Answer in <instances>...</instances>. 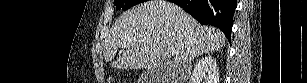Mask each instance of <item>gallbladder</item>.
<instances>
[{
    "label": "gallbladder",
    "mask_w": 307,
    "mask_h": 83,
    "mask_svg": "<svg viewBox=\"0 0 307 83\" xmlns=\"http://www.w3.org/2000/svg\"><path fill=\"white\" fill-rule=\"evenodd\" d=\"M159 70L156 68L146 69L140 76L142 83H157Z\"/></svg>",
    "instance_id": "bac80fb5"
}]
</instances>
